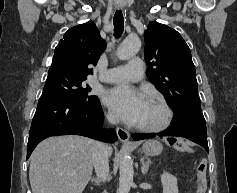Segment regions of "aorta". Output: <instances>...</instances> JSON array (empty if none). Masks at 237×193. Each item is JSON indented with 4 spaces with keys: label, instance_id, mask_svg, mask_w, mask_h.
Segmentation results:
<instances>
[{
    "label": "aorta",
    "instance_id": "762f6f07",
    "mask_svg": "<svg viewBox=\"0 0 237 193\" xmlns=\"http://www.w3.org/2000/svg\"><path fill=\"white\" fill-rule=\"evenodd\" d=\"M141 41L137 36H128L117 49V57L120 60H127L133 57L140 49ZM119 193H129L133 184V161L126 151L121 152L119 170Z\"/></svg>",
    "mask_w": 237,
    "mask_h": 193
}]
</instances>
